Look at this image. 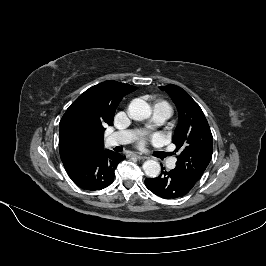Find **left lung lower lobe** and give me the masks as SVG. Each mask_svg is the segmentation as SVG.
<instances>
[{
  "label": "left lung lower lobe",
  "mask_w": 266,
  "mask_h": 266,
  "mask_svg": "<svg viewBox=\"0 0 266 266\" xmlns=\"http://www.w3.org/2000/svg\"><path fill=\"white\" fill-rule=\"evenodd\" d=\"M161 174L153 179H145L146 187L154 194L165 198L174 199L183 197L189 193L193 185L186 181L178 172L170 170L169 172L163 171Z\"/></svg>",
  "instance_id": "left-lung-lower-lobe-1"
}]
</instances>
